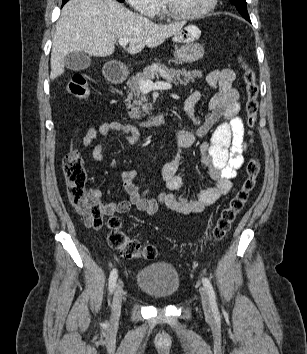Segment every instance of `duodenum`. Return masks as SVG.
<instances>
[{"label": "duodenum", "instance_id": "410a0bca", "mask_svg": "<svg viewBox=\"0 0 307 354\" xmlns=\"http://www.w3.org/2000/svg\"><path fill=\"white\" fill-rule=\"evenodd\" d=\"M107 78L112 83H121L125 79V75L122 70L117 67H109L106 72ZM166 122V116L164 114H158L150 117L140 123L143 128H155L163 125Z\"/></svg>", "mask_w": 307, "mask_h": 354}]
</instances>
